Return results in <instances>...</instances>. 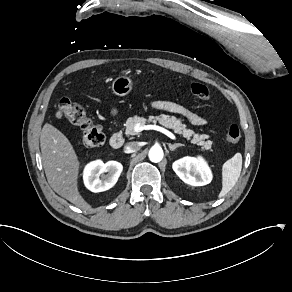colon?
<instances>
[{
  "label": "colon",
  "mask_w": 292,
  "mask_h": 292,
  "mask_svg": "<svg viewBox=\"0 0 292 292\" xmlns=\"http://www.w3.org/2000/svg\"><path fill=\"white\" fill-rule=\"evenodd\" d=\"M191 92L194 96L203 100H208L210 98L209 89L201 83L192 84ZM56 116L73 125L81 127L83 130L80 140L81 145L96 147L104 142L105 134L102 128L89 116L82 104L64 97L57 105ZM227 137L231 142L239 141L241 138L239 126L230 125L227 131Z\"/></svg>",
  "instance_id": "colon-1"
}]
</instances>
